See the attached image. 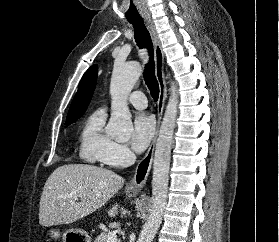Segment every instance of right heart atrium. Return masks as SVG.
<instances>
[{
    "label": "right heart atrium",
    "instance_id": "d8ad5b80",
    "mask_svg": "<svg viewBox=\"0 0 279 242\" xmlns=\"http://www.w3.org/2000/svg\"><path fill=\"white\" fill-rule=\"evenodd\" d=\"M132 158L133 155L125 144L114 142L105 155L103 163L111 167H121L127 165Z\"/></svg>",
    "mask_w": 279,
    "mask_h": 242
}]
</instances>
